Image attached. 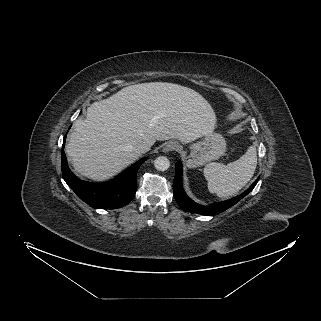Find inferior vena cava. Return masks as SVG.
Listing matches in <instances>:
<instances>
[{
	"label": "inferior vena cava",
	"instance_id": "obj_1",
	"mask_svg": "<svg viewBox=\"0 0 321 321\" xmlns=\"http://www.w3.org/2000/svg\"><path fill=\"white\" fill-rule=\"evenodd\" d=\"M135 150L139 153V154H143L147 151L150 150V146L146 143H142V144H139L135 147Z\"/></svg>",
	"mask_w": 321,
	"mask_h": 321
}]
</instances>
